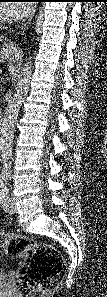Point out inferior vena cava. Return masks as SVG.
<instances>
[{"instance_id":"inferior-vena-cava-1","label":"inferior vena cava","mask_w":107,"mask_h":297,"mask_svg":"<svg viewBox=\"0 0 107 297\" xmlns=\"http://www.w3.org/2000/svg\"><path fill=\"white\" fill-rule=\"evenodd\" d=\"M6 171H8V174L10 175L11 171H10L9 167H8V169H6Z\"/></svg>"}]
</instances>
